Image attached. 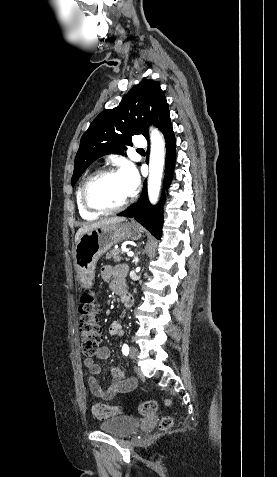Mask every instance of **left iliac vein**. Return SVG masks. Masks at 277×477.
<instances>
[{"instance_id": "obj_1", "label": "left iliac vein", "mask_w": 277, "mask_h": 477, "mask_svg": "<svg viewBox=\"0 0 277 477\" xmlns=\"http://www.w3.org/2000/svg\"><path fill=\"white\" fill-rule=\"evenodd\" d=\"M129 356H130L131 359L136 360L137 356H138V349L136 347H131L130 352H129Z\"/></svg>"}]
</instances>
